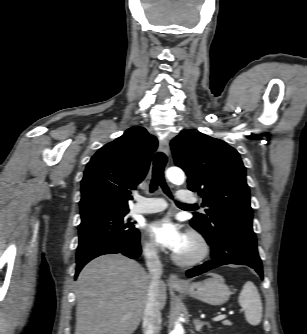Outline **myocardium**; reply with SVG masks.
<instances>
[{
  "instance_id": "myocardium-1",
  "label": "myocardium",
  "mask_w": 307,
  "mask_h": 334,
  "mask_svg": "<svg viewBox=\"0 0 307 334\" xmlns=\"http://www.w3.org/2000/svg\"><path fill=\"white\" fill-rule=\"evenodd\" d=\"M186 236L195 242L196 251L189 256H184L175 252L172 258L179 265L192 266L200 263L208 256L210 246L204 235L195 229H189Z\"/></svg>"
}]
</instances>
